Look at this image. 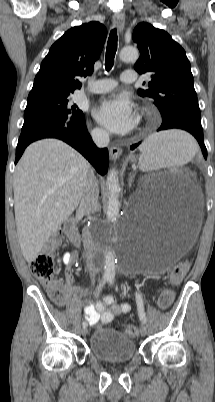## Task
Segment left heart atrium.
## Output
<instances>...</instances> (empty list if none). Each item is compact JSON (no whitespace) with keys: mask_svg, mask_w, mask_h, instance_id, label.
<instances>
[{"mask_svg":"<svg viewBox=\"0 0 215 402\" xmlns=\"http://www.w3.org/2000/svg\"><path fill=\"white\" fill-rule=\"evenodd\" d=\"M94 116L108 130L117 134L128 133L138 122L134 105L125 95L104 99L96 108Z\"/></svg>","mask_w":215,"mask_h":402,"instance_id":"1","label":"left heart atrium"}]
</instances>
